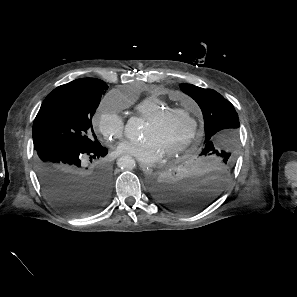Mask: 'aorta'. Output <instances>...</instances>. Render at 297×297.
Segmentation results:
<instances>
[{"instance_id": "1", "label": "aorta", "mask_w": 297, "mask_h": 297, "mask_svg": "<svg viewBox=\"0 0 297 297\" xmlns=\"http://www.w3.org/2000/svg\"><path fill=\"white\" fill-rule=\"evenodd\" d=\"M141 131V120L137 117H131L125 125V136L131 141H136L140 138ZM117 165L122 169H133L135 167V160L130 156H122L118 159Z\"/></svg>"}]
</instances>
